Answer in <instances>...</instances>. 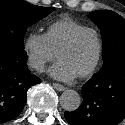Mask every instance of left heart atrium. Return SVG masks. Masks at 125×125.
Returning a JSON list of instances; mask_svg holds the SVG:
<instances>
[{
    "instance_id": "obj_1",
    "label": "left heart atrium",
    "mask_w": 125,
    "mask_h": 125,
    "mask_svg": "<svg viewBox=\"0 0 125 125\" xmlns=\"http://www.w3.org/2000/svg\"><path fill=\"white\" fill-rule=\"evenodd\" d=\"M49 74L61 81H70L76 77L74 72L61 60L55 63L50 69Z\"/></svg>"
}]
</instances>
